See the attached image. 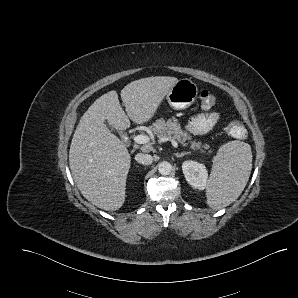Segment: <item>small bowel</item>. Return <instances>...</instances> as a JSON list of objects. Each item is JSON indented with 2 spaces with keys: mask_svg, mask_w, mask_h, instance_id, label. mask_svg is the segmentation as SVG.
<instances>
[{
  "mask_svg": "<svg viewBox=\"0 0 298 298\" xmlns=\"http://www.w3.org/2000/svg\"><path fill=\"white\" fill-rule=\"evenodd\" d=\"M220 119L218 112H209L192 117L186 125V129L195 135H203L210 131Z\"/></svg>",
  "mask_w": 298,
  "mask_h": 298,
  "instance_id": "obj_1",
  "label": "small bowel"
}]
</instances>
